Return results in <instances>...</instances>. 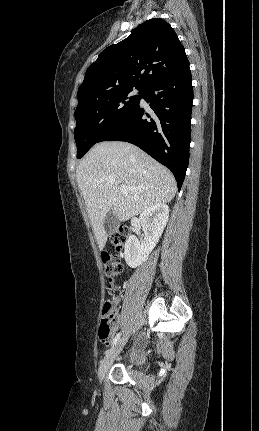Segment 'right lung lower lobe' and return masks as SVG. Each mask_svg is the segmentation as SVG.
<instances>
[{
	"label": "right lung lower lobe",
	"instance_id": "98d812e1",
	"mask_svg": "<svg viewBox=\"0 0 259 431\" xmlns=\"http://www.w3.org/2000/svg\"><path fill=\"white\" fill-rule=\"evenodd\" d=\"M140 102L101 141L132 143L174 174L181 189L189 162L191 142L192 77L189 65L156 81L144 90Z\"/></svg>",
	"mask_w": 259,
	"mask_h": 431
}]
</instances>
